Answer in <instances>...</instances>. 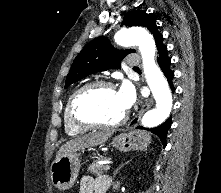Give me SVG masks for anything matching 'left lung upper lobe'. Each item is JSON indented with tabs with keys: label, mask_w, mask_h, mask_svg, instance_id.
<instances>
[{
	"label": "left lung upper lobe",
	"mask_w": 221,
	"mask_h": 193,
	"mask_svg": "<svg viewBox=\"0 0 221 193\" xmlns=\"http://www.w3.org/2000/svg\"><path fill=\"white\" fill-rule=\"evenodd\" d=\"M124 24L146 27L153 34L156 46L162 42L163 36L158 31L155 19L145 11L134 10L126 14L122 22ZM132 52V49L116 50L104 36L94 39L76 56L67 75L65 88L90 74L119 67L120 61Z\"/></svg>",
	"instance_id": "5c2ea615"
}]
</instances>
